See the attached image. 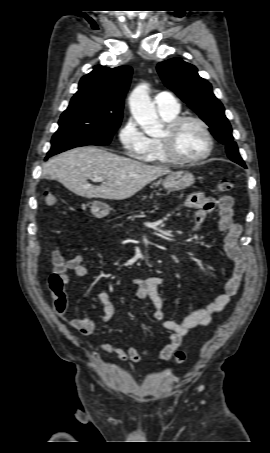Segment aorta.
Masks as SVG:
<instances>
[{"instance_id":"762f6f07","label":"aorta","mask_w":270,"mask_h":453,"mask_svg":"<svg viewBox=\"0 0 270 453\" xmlns=\"http://www.w3.org/2000/svg\"><path fill=\"white\" fill-rule=\"evenodd\" d=\"M148 85H138L130 94L129 106L136 122L150 136L157 135L162 130L154 104L152 103Z\"/></svg>"}]
</instances>
